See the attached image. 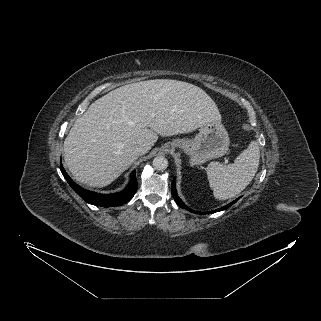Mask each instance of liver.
Instances as JSON below:
<instances>
[{"instance_id": "1", "label": "liver", "mask_w": 321, "mask_h": 321, "mask_svg": "<svg viewBox=\"0 0 321 321\" xmlns=\"http://www.w3.org/2000/svg\"><path fill=\"white\" fill-rule=\"evenodd\" d=\"M221 121L215 102L183 81L155 79L124 85L93 102L64 141V160L74 178L91 187L112 183L150 148L158 135L188 133Z\"/></svg>"}]
</instances>
